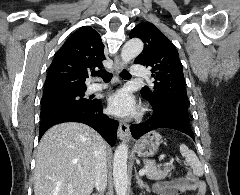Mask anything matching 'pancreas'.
Wrapping results in <instances>:
<instances>
[{"instance_id":"obj_1","label":"pancreas","mask_w":240,"mask_h":195,"mask_svg":"<svg viewBox=\"0 0 240 195\" xmlns=\"http://www.w3.org/2000/svg\"><path fill=\"white\" fill-rule=\"evenodd\" d=\"M143 169H147L146 175L148 179H163V177H170L171 169L174 167H165V169H157L155 159H144Z\"/></svg>"}]
</instances>
